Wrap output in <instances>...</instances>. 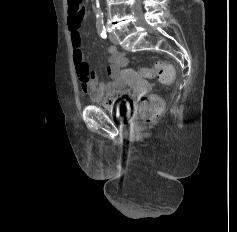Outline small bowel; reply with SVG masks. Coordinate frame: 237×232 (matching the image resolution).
Returning <instances> with one entry per match:
<instances>
[{
	"label": "small bowel",
	"instance_id": "obj_1",
	"mask_svg": "<svg viewBox=\"0 0 237 232\" xmlns=\"http://www.w3.org/2000/svg\"><path fill=\"white\" fill-rule=\"evenodd\" d=\"M83 19L84 16L76 17L71 14L68 17V28L73 46V61L77 74L80 77L82 90L95 102L104 101V103L112 104L117 101L121 97L122 92L125 91L122 69L126 66L127 59L125 54L118 50L117 47L109 46L107 48L109 55L107 75L110 80L107 82H99L96 74L89 71L84 58L80 33Z\"/></svg>",
	"mask_w": 237,
	"mask_h": 232
}]
</instances>
